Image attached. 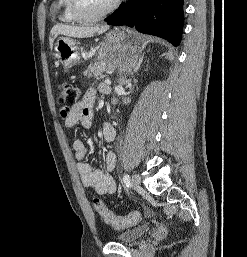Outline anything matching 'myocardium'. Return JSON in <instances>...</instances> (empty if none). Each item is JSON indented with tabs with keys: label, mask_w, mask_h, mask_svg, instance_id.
Wrapping results in <instances>:
<instances>
[{
	"label": "myocardium",
	"mask_w": 247,
	"mask_h": 257,
	"mask_svg": "<svg viewBox=\"0 0 247 257\" xmlns=\"http://www.w3.org/2000/svg\"><path fill=\"white\" fill-rule=\"evenodd\" d=\"M121 2L122 0H114L105 10L94 15H89L84 12V10L82 9L80 0H71V9L76 19L79 22L92 23V22L99 21L107 17L108 15H110L118 8Z\"/></svg>",
	"instance_id": "obj_1"
}]
</instances>
